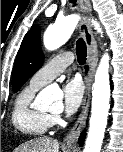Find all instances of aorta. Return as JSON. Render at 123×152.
Returning a JSON list of instances; mask_svg holds the SVG:
<instances>
[{"label":"aorta","mask_w":123,"mask_h":152,"mask_svg":"<svg viewBox=\"0 0 123 152\" xmlns=\"http://www.w3.org/2000/svg\"><path fill=\"white\" fill-rule=\"evenodd\" d=\"M79 17L69 15L56 20L49 26L43 36L47 50H55L67 42L74 32ZM95 29L101 32L99 24L94 22ZM109 55L105 53L95 73L92 91V108L84 152H100L110 108ZM61 92L47 87L37 97L38 107L47 110H57L62 106Z\"/></svg>","instance_id":"1"}]
</instances>
